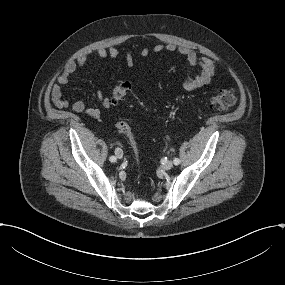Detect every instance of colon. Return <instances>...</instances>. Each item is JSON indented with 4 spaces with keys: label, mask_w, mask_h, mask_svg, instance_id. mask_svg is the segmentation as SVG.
<instances>
[{
    "label": "colon",
    "mask_w": 285,
    "mask_h": 285,
    "mask_svg": "<svg viewBox=\"0 0 285 285\" xmlns=\"http://www.w3.org/2000/svg\"><path fill=\"white\" fill-rule=\"evenodd\" d=\"M170 72L173 71L170 70ZM130 91H131L130 82L122 81L114 88L110 96L111 103L114 105L121 103L123 100H125ZM236 102H237V97L233 91L221 90L217 92V94L211 97L209 105L211 109L217 112H226L231 108H233ZM115 126L118 132L124 135L128 139L131 147L133 148L134 152L137 154L138 153L137 144L132 135L129 125L124 121H119L116 123Z\"/></svg>",
    "instance_id": "1"
}]
</instances>
